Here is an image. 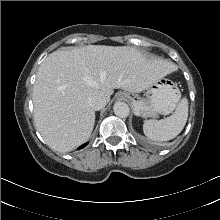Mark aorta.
I'll return each mask as SVG.
<instances>
[{
    "instance_id": "obj_1",
    "label": "aorta",
    "mask_w": 220,
    "mask_h": 220,
    "mask_svg": "<svg viewBox=\"0 0 220 220\" xmlns=\"http://www.w3.org/2000/svg\"><path fill=\"white\" fill-rule=\"evenodd\" d=\"M113 111L120 118H126L130 114L129 106L125 102H116L113 106Z\"/></svg>"
}]
</instances>
